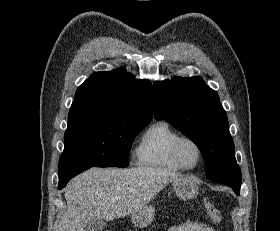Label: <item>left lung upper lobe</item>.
Instances as JSON below:
<instances>
[{"mask_svg":"<svg viewBox=\"0 0 280 231\" xmlns=\"http://www.w3.org/2000/svg\"><path fill=\"white\" fill-rule=\"evenodd\" d=\"M155 118L165 119L200 149L207 178L235 167L234 143L218 94L200 77H173L153 85Z\"/></svg>","mask_w":280,"mask_h":231,"instance_id":"5c2ea615","label":"left lung upper lobe"}]
</instances>
